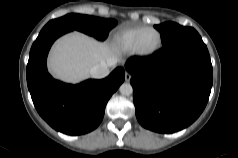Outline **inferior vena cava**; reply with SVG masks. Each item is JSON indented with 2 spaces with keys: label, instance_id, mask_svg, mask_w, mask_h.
Here are the masks:
<instances>
[{
  "label": "inferior vena cava",
  "instance_id": "obj_1",
  "mask_svg": "<svg viewBox=\"0 0 238 158\" xmlns=\"http://www.w3.org/2000/svg\"><path fill=\"white\" fill-rule=\"evenodd\" d=\"M112 64L113 62L110 61L108 63L103 62L101 64L95 65L90 69V75L97 79L104 78L109 75V66H111Z\"/></svg>",
  "mask_w": 238,
  "mask_h": 158
}]
</instances>
